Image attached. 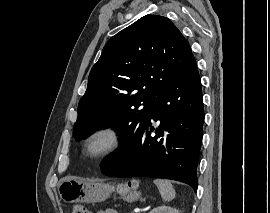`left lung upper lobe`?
Returning a JSON list of instances; mask_svg holds the SVG:
<instances>
[{
    "mask_svg": "<svg viewBox=\"0 0 270 213\" xmlns=\"http://www.w3.org/2000/svg\"><path fill=\"white\" fill-rule=\"evenodd\" d=\"M196 63L189 43L166 17L146 15L113 36L93 66L78 105L76 141L113 126L120 141L147 123L157 97Z\"/></svg>",
    "mask_w": 270,
    "mask_h": 213,
    "instance_id": "1",
    "label": "left lung upper lobe"
}]
</instances>
